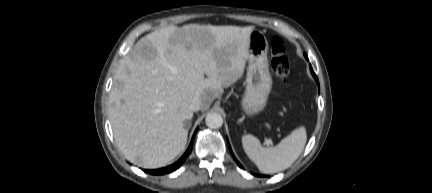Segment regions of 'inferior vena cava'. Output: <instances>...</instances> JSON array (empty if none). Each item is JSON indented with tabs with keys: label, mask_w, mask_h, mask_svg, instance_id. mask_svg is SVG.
<instances>
[{
	"label": "inferior vena cava",
	"mask_w": 432,
	"mask_h": 193,
	"mask_svg": "<svg viewBox=\"0 0 432 193\" xmlns=\"http://www.w3.org/2000/svg\"><path fill=\"white\" fill-rule=\"evenodd\" d=\"M201 105H202L201 99L196 96L192 98L189 107L192 111H199L201 109Z\"/></svg>",
	"instance_id": "602c4592"
}]
</instances>
